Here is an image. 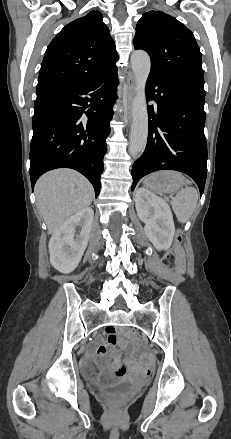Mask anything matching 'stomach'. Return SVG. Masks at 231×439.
I'll list each match as a JSON object with an SVG mask.
<instances>
[{
  "label": "stomach",
  "mask_w": 231,
  "mask_h": 439,
  "mask_svg": "<svg viewBox=\"0 0 231 439\" xmlns=\"http://www.w3.org/2000/svg\"><path fill=\"white\" fill-rule=\"evenodd\" d=\"M186 179L174 171H160L145 178V185L153 191L172 194L186 184Z\"/></svg>",
  "instance_id": "stomach-1"
}]
</instances>
